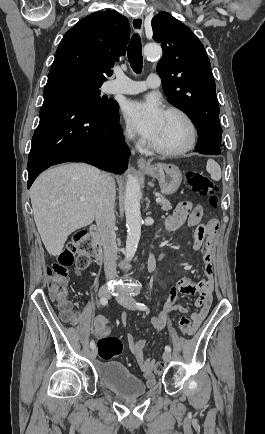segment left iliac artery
Here are the masks:
<instances>
[{"instance_id":"left-iliac-artery-1","label":"left iliac artery","mask_w":265,"mask_h":434,"mask_svg":"<svg viewBox=\"0 0 265 434\" xmlns=\"http://www.w3.org/2000/svg\"><path fill=\"white\" fill-rule=\"evenodd\" d=\"M136 307L142 311L147 310V306L143 303H136ZM165 351L171 352V347L169 345L165 346Z\"/></svg>"}]
</instances>
